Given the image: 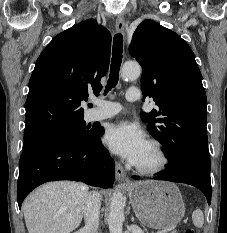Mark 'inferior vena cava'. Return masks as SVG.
Returning <instances> with one entry per match:
<instances>
[{"label": "inferior vena cava", "mask_w": 227, "mask_h": 233, "mask_svg": "<svg viewBox=\"0 0 227 233\" xmlns=\"http://www.w3.org/2000/svg\"><path fill=\"white\" fill-rule=\"evenodd\" d=\"M101 196L98 192L88 193L84 209V229L87 233H97L99 226Z\"/></svg>", "instance_id": "obj_1"}]
</instances>
